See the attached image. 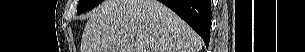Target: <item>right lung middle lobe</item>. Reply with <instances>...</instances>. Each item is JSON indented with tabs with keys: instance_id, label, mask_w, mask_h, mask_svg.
<instances>
[{
	"instance_id": "dd1d6c3e",
	"label": "right lung middle lobe",
	"mask_w": 305,
	"mask_h": 52,
	"mask_svg": "<svg viewBox=\"0 0 305 52\" xmlns=\"http://www.w3.org/2000/svg\"><path fill=\"white\" fill-rule=\"evenodd\" d=\"M103 0H80L77 6V14L90 10L101 3Z\"/></svg>"
}]
</instances>
